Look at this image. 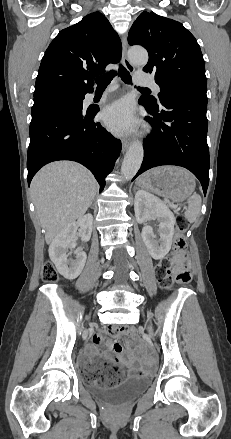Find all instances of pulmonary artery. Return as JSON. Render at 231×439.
I'll return each mask as SVG.
<instances>
[{
  "label": "pulmonary artery",
  "mask_w": 231,
  "mask_h": 439,
  "mask_svg": "<svg viewBox=\"0 0 231 439\" xmlns=\"http://www.w3.org/2000/svg\"><path fill=\"white\" fill-rule=\"evenodd\" d=\"M134 80L139 85L149 86L153 88L156 94L160 92L159 85L152 79V77L144 72L137 71L134 74ZM115 89V86L109 87L105 90V94L113 91ZM94 97V93L89 95V99H92Z\"/></svg>",
  "instance_id": "e3ab8cb5"
}]
</instances>
